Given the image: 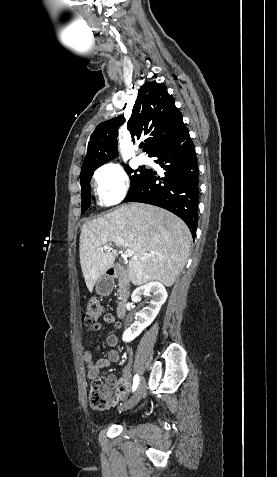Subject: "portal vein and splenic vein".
<instances>
[{"label": "portal vein and splenic vein", "instance_id": "18ae733b", "mask_svg": "<svg viewBox=\"0 0 277 477\" xmlns=\"http://www.w3.org/2000/svg\"><path fill=\"white\" fill-rule=\"evenodd\" d=\"M110 246H111V244H106V245L100 247L98 250L99 251L107 250V249H110ZM133 255H134V251L132 249L127 248V249L124 250V253H123L124 257H132Z\"/></svg>", "mask_w": 277, "mask_h": 477}]
</instances>
